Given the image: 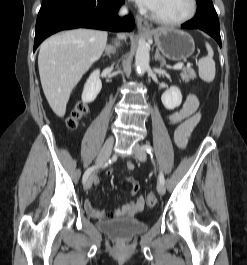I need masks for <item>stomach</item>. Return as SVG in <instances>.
Segmentation results:
<instances>
[{
	"mask_svg": "<svg viewBox=\"0 0 247 265\" xmlns=\"http://www.w3.org/2000/svg\"><path fill=\"white\" fill-rule=\"evenodd\" d=\"M152 34L154 35L157 48L169 60H185L194 53V40L185 31L161 27L152 31Z\"/></svg>",
	"mask_w": 247,
	"mask_h": 265,
	"instance_id": "1",
	"label": "stomach"
}]
</instances>
